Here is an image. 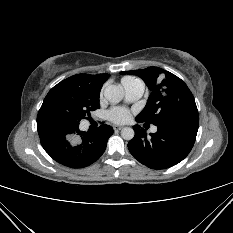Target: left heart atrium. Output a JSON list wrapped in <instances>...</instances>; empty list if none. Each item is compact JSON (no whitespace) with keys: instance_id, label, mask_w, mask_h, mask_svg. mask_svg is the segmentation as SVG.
I'll return each mask as SVG.
<instances>
[{"instance_id":"left-heart-atrium-1","label":"left heart atrium","mask_w":233,"mask_h":233,"mask_svg":"<svg viewBox=\"0 0 233 233\" xmlns=\"http://www.w3.org/2000/svg\"><path fill=\"white\" fill-rule=\"evenodd\" d=\"M107 118L113 123L123 124L130 118V111L123 107H113L107 111Z\"/></svg>"}]
</instances>
